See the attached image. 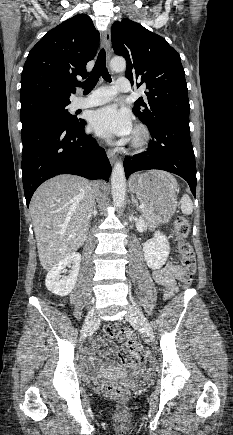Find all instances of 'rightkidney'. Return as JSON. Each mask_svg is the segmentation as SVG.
I'll use <instances>...</instances> for the list:
<instances>
[{
	"label": "right kidney",
	"instance_id": "1",
	"mask_svg": "<svg viewBox=\"0 0 233 435\" xmlns=\"http://www.w3.org/2000/svg\"><path fill=\"white\" fill-rule=\"evenodd\" d=\"M81 263V255L79 253H72L65 259L57 263L47 274L45 285L49 291L58 296H67L74 288ZM72 264V270L69 276H60L61 272Z\"/></svg>",
	"mask_w": 233,
	"mask_h": 435
}]
</instances>
